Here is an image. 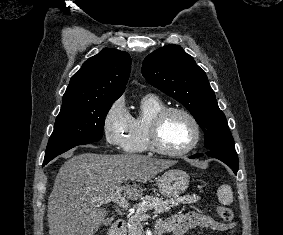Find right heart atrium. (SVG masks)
I'll return each mask as SVG.
<instances>
[{
  "label": "right heart atrium",
  "instance_id": "obj_1",
  "mask_svg": "<svg viewBox=\"0 0 283 235\" xmlns=\"http://www.w3.org/2000/svg\"><path fill=\"white\" fill-rule=\"evenodd\" d=\"M130 115L123 98L117 99L108 109L103 129L107 143L113 147H123V138L129 126Z\"/></svg>",
  "mask_w": 283,
  "mask_h": 235
}]
</instances>
